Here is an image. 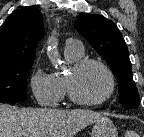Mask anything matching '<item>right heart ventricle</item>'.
Listing matches in <instances>:
<instances>
[{
	"mask_svg": "<svg viewBox=\"0 0 144 137\" xmlns=\"http://www.w3.org/2000/svg\"><path fill=\"white\" fill-rule=\"evenodd\" d=\"M83 50H78L76 49L74 46L72 45H67L65 46V57L67 59L68 62L70 63H74L77 60H79L82 56ZM55 80H56V84L57 87L59 89L60 92V97L61 99L63 97H65L66 95V87H65V79L64 76L60 73H54L53 74Z\"/></svg>",
	"mask_w": 144,
	"mask_h": 137,
	"instance_id": "right-heart-ventricle-1",
	"label": "right heart ventricle"
}]
</instances>
